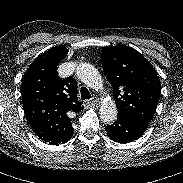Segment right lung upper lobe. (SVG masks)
Returning <instances> with one entry per match:
<instances>
[{
	"instance_id": "cb5924a9",
	"label": "right lung upper lobe",
	"mask_w": 183,
	"mask_h": 183,
	"mask_svg": "<svg viewBox=\"0 0 183 183\" xmlns=\"http://www.w3.org/2000/svg\"><path fill=\"white\" fill-rule=\"evenodd\" d=\"M64 46H56L37 57L22 78L24 112L35 134L45 142H67L74 129L70 118L83 110L77 99L74 78L61 79L57 65L67 55Z\"/></svg>"
}]
</instances>
